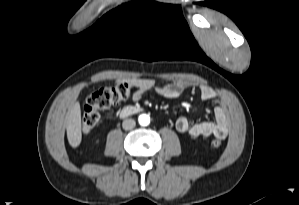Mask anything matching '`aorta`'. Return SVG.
<instances>
[{
    "label": "aorta",
    "instance_id": "aorta-1",
    "mask_svg": "<svg viewBox=\"0 0 299 205\" xmlns=\"http://www.w3.org/2000/svg\"><path fill=\"white\" fill-rule=\"evenodd\" d=\"M139 124L142 126H147L150 123V117L147 114H141L138 117Z\"/></svg>",
    "mask_w": 299,
    "mask_h": 205
}]
</instances>
